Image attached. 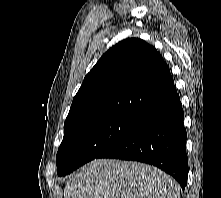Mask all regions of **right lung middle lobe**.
I'll use <instances>...</instances> for the list:
<instances>
[{
    "mask_svg": "<svg viewBox=\"0 0 221 198\" xmlns=\"http://www.w3.org/2000/svg\"><path fill=\"white\" fill-rule=\"evenodd\" d=\"M140 119L129 115H112L64 133L56 156L58 176H65L97 158L128 135Z\"/></svg>",
    "mask_w": 221,
    "mask_h": 198,
    "instance_id": "obj_1",
    "label": "right lung middle lobe"
}]
</instances>
